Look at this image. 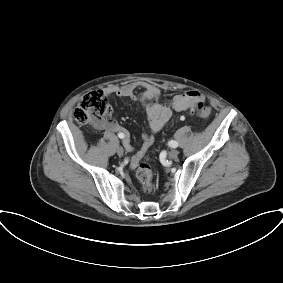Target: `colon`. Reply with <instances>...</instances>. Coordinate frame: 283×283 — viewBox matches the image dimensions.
Here are the masks:
<instances>
[{
	"instance_id": "1",
	"label": "colon",
	"mask_w": 283,
	"mask_h": 283,
	"mask_svg": "<svg viewBox=\"0 0 283 283\" xmlns=\"http://www.w3.org/2000/svg\"><path fill=\"white\" fill-rule=\"evenodd\" d=\"M211 112V106L205 102H198L192 111L193 115L199 118H208ZM111 113L112 107L103 93L92 91L81 97L73 110L72 116L79 125L90 124L96 128H102ZM136 175L144 193L151 194L155 187L150 165L144 162L138 164Z\"/></svg>"
}]
</instances>
